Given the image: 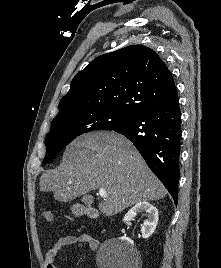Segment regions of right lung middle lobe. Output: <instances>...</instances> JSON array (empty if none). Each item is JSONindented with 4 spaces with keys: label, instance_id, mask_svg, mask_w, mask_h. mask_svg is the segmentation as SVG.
Here are the masks:
<instances>
[{
    "label": "right lung middle lobe",
    "instance_id": "1",
    "mask_svg": "<svg viewBox=\"0 0 221 268\" xmlns=\"http://www.w3.org/2000/svg\"><path fill=\"white\" fill-rule=\"evenodd\" d=\"M130 119L125 114L110 110H94L56 116L52 120L51 130L46 136L47 152L43 164L51 161L77 136L94 130H112L127 123Z\"/></svg>",
    "mask_w": 221,
    "mask_h": 268
}]
</instances>
